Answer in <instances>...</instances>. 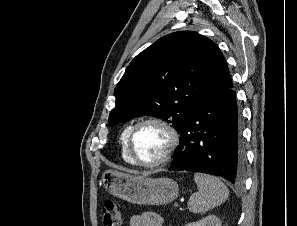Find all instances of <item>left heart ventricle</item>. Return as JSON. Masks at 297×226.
I'll return each instance as SVG.
<instances>
[{
	"mask_svg": "<svg viewBox=\"0 0 297 226\" xmlns=\"http://www.w3.org/2000/svg\"><path fill=\"white\" fill-rule=\"evenodd\" d=\"M168 142V135L157 125L141 126L133 139V150L143 162H152L161 157Z\"/></svg>",
	"mask_w": 297,
	"mask_h": 226,
	"instance_id": "obj_1",
	"label": "left heart ventricle"
}]
</instances>
